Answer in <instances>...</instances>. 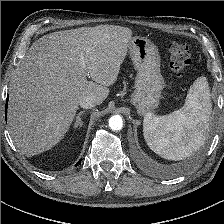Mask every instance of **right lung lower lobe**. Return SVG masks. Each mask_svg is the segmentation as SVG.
I'll list each match as a JSON object with an SVG mask.
<instances>
[{"label": "right lung lower lobe", "instance_id": "right-lung-lower-lobe-1", "mask_svg": "<svg viewBox=\"0 0 224 224\" xmlns=\"http://www.w3.org/2000/svg\"><path fill=\"white\" fill-rule=\"evenodd\" d=\"M7 102H8V98H7V100H6V106H5V116H6V114H7ZM78 163H80V161H79Z\"/></svg>", "mask_w": 224, "mask_h": 224}]
</instances>
